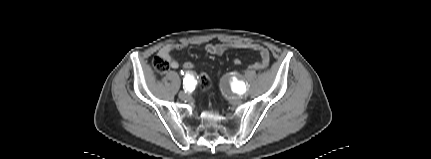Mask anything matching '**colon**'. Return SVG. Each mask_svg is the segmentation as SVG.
I'll return each mask as SVG.
<instances>
[{"instance_id": "obj_1", "label": "colon", "mask_w": 431, "mask_h": 159, "mask_svg": "<svg viewBox=\"0 0 431 159\" xmlns=\"http://www.w3.org/2000/svg\"><path fill=\"white\" fill-rule=\"evenodd\" d=\"M233 63L234 65L239 66L242 63V60L240 58H235ZM153 67L155 71L158 72L159 74H164L169 69V63L166 59L158 56L153 61ZM197 67H198L197 62L194 59H191L190 61H185V64L183 65V70L185 72H190V71L196 70ZM199 85L201 89L205 91L211 88L212 82L207 74L203 73L200 75Z\"/></svg>"}]
</instances>
